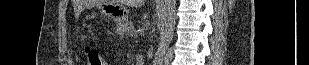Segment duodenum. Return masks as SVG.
Masks as SVG:
<instances>
[{"mask_svg":"<svg viewBox=\"0 0 309 65\" xmlns=\"http://www.w3.org/2000/svg\"><path fill=\"white\" fill-rule=\"evenodd\" d=\"M137 64L138 65H144V60H143V57L141 55L137 56Z\"/></svg>","mask_w":309,"mask_h":65,"instance_id":"obj_1","label":"duodenum"}]
</instances>
